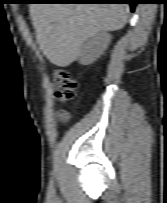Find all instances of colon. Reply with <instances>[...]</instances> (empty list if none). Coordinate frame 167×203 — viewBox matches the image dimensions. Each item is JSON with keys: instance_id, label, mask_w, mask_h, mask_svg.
I'll return each instance as SVG.
<instances>
[{"instance_id": "obj_1", "label": "colon", "mask_w": 167, "mask_h": 203, "mask_svg": "<svg viewBox=\"0 0 167 203\" xmlns=\"http://www.w3.org/2000/svg\"><path fill=\"white\" fill-rule=\"evenodd\" d=\"M56 85V97L59 101L65 102L73 99L76 90V81L71 77L70 73L64 69H58L54 73ZM58 117L63 120L67 117L66 111H59Z\"/></svg>"}]
</instances>
